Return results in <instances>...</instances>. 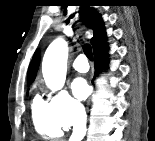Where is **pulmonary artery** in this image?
<instances>
[{
	"instance_id": "1",
	"label": "pulmonary artery",
	"mask_w": 155,
	"mask_h": 141,
	"mask_svg": "<svg viewBox=\"0 0 155 141\" xmlns=\"http://www.w3.org/2000/svg\"><path fill=\"white\" fill-rule=\"evenodd\" d=\"M73 67L75 70L81 73H85L89 69V65L87 63V59L85 55L81 54L75 58L73 61Z\"/></svg>"
}]
</instances>
